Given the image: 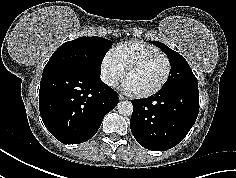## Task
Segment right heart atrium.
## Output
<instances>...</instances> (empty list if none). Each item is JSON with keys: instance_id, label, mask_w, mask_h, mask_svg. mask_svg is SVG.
<instances>
[{"instance_id": "d8ad5b80", "label": "right heart atrium", "mask_w": 236, "mask_h": 178, "mask_svg": "<svg viewBox=\"0 0 236 178\" xmlns=\"http://www.w3.org/2000/svg\"><path fill=\"white\" fill-rule=\"evenodd\" d=\"M123 76V69L115 61L111 53L103 55L100 62L101 80L110 87H115Z\"/></svg>"}]
</instances>
